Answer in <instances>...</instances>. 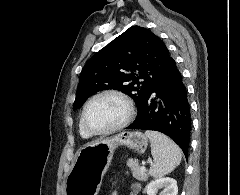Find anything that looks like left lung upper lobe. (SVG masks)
<instances>
[{"mask_svg":"<svg viewBox=\"0 0 240 195\" xmlns=\"http://www.w3.org/2000/svg\"><path fill=\"white\" fill-rule=\"evenodd\" d=\"M170 59L164 42L154 33L140 26L127 29L83 67L73 109L98 91L115 89L132 97L139 113Z\"/></svg>","mask_w":240,"mask_h":195,"instance_id":"1","label":"left lung upper lobe"}]
</instances>
